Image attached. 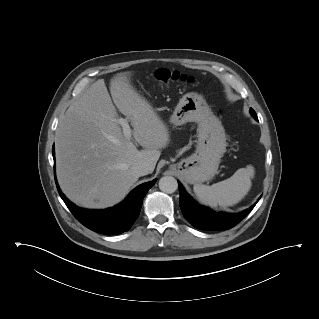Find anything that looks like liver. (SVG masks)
Wrapping results in <instances>:
<instances>
[{
    "label": "liver",
    "instance_id": "6515ba94",
    "mask_svg": "<svg viewBox=\"0 0 319 319\" xmlns=\"http://www.w3.org/2000/svg\"><path fill=\"white\" fill-rule=\"evenodd\" d=\"M131 72L110 80L115 106L133 127L124 136L116 108L103 79L93 83L61 117L55 139L56 173L63 193L85 208H107L120 202L139 176L131 167L147 162L150 173L160 149L170 140L166 124L130 83Z\"/></svg>",
    "mask_w": 319,
    "mask_h": 319
}]
</instances>
